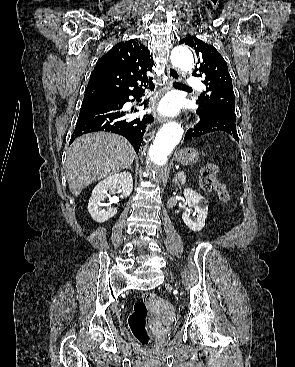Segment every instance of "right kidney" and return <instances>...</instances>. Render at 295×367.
<instances>
[{"label": "right kidney", "mask_w": 295, "mask_h": 367, "mask_svg": "<svg viewBox=\"0 0 295 367\" xmlns=\"http://www.w3.org/2000/svg\"><path fill=\"white\" fill-rule=\"evenodd\" d=\"M116 189H118V193L121 196L128 197L133 190L131 174L127 172L114 174L95 186L88 203V212L94 221L103 223L117 214L116 208L108 207L106 210L102 209L104 205L102 202L106 198L108 191H115Z\"/></svg>", "instance_id": "obj_1"}]
</instances>
